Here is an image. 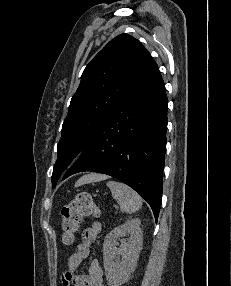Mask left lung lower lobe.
I'll return each instance as SVG.
<instances>
[{
  "label": "left lung lower lobe",
  "mask_w": 231,
  "mask_h": 286,
  "mask_svg": "<svg viewBox=\"0 0 231 286\" xmlns=\"http://www.w3.org/2000/svg\"><path fill=\"white\" fill-rule=\"evenodd\" d=\"M167 97L156 67L110 111L64 178L83 171L110 175L133 188L157 220L166 150Z\"/></svg>",
  "instance_id": "left-lung-lower-lobe-1"
}]
</instances>
